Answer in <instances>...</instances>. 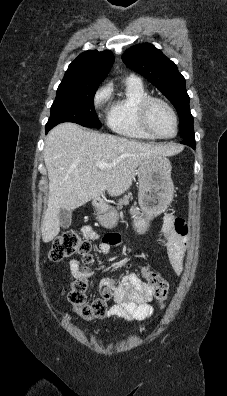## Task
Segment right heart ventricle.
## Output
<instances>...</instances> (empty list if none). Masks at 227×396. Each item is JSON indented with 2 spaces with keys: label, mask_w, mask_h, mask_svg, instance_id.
<instances>
[{
  "label": "right heart ventricle",
  "mask_w": 227,
  "mask_h": 396,
  "mask_svg": "<svg viewBox=\"0 0 227 396\" xmlns=\"http://www.w3.org/2000/svg\"><path fill=\"white\" fill-rule=\"evenodd\" d=\"M148 96L149 92L139 79L127 78L123 92L110 105L107 115L109 128L127 138L156 139L142 127L139 120V106Z\"/></svg>",
  "instance_id": "e07e8e85"
}]
</instances>
